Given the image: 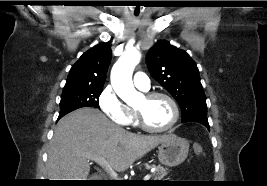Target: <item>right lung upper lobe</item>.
I'll use <instances>...</instances> for the list:
<instances>
[{
    "label": "right lung upper lobe",
    "instance_id": "cb5924a9",
    "mask_svg": "<svg viewBox=\"0 0 267 186\" xmlns=\"http://www.w3.org/2000/svg\"><path fill=\"white\" fill-rule=\"evenodd\" d=\"M111 56L110 43H100L85 52L72 66L64 88H103Z\"/></svg>",
    "mask_w": 267,
    "mask_h": 186
}]
</instances>
